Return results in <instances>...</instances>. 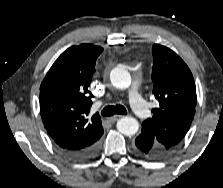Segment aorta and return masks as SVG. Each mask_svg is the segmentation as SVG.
Wrapping results in <instances>:
<instances>
[{"instance_id": "762f6f07", "label": "aorta", "mask_w": 223, "mask_h": 188, "mask_svg": "<svg viewBox=\"0 0 223 188\" xmlns=\"http://www.w3.org/2000/svg\"><path fill=\"white\" fill-rule=\"evenodd\" d=\"M110 80L112 85L118 89H127L131 85V75L122 67H115L111 70ZM138 129L139 123L133 117H123L117 122V130L125 136L135 135Z\"/></svg>"}]
</instances>
